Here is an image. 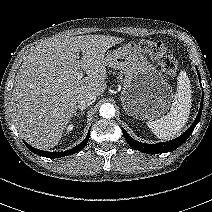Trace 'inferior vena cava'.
<instances>
[{
  "instance_id": "602c4592",
  "label": "inferior vena cava",
  "mask_w": 212,
  "mask_h": 212,
  "mask_svg": "<svg viewBox=\"0 0 212 212\" xmlns=\"http://www.w3.org/2000/svg\"><path fill=\"white\" fill-rule=\"evenodd\" d=\"M77 101L81 106L87 107L96 101V95L92 93H82L78 95Z\"/></svg>"
}]
</instances>
